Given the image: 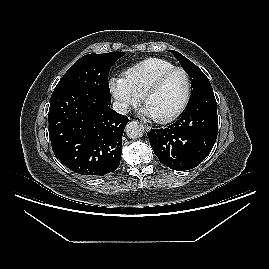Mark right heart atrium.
Masks as SVG:
<instances>
[{"label":"right heart atrium","mask_w":269,"mask_h":269,"mask_svg":"<svg viewBox=\"0 0 269 269\" xmlns=\"http://www.w3.org/2000/svg\"><path fill=\"white\" fill-rule=\"evenodd\" d=\"M109 91L121 112H127L140 101V96L132 91L124 77H112L109 80Z\"/></svg>","instance_id":"obj_1"}]
</instances>
